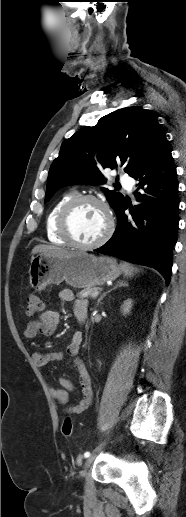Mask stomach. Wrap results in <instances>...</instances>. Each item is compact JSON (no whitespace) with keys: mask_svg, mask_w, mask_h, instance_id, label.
I'll return each mask as SVG.
<instances>
[{"mask_svg":"<svg viewBox=\"0 0 186 517\" xmlns=\"http://www.w3.org/2000/svg\"><path fill=\"white\" fill-rule=\"evenodd\" d=\"M120 274L116 260L107 256L78 252L60 258L40 254L31 258L29 281L31 287L38 290L63 281L74 288H90L115 280Z\"/></svg>","mask_w":186,"mask_h":517,"instance_id":"1","label":"stomach"}]
</instances>
